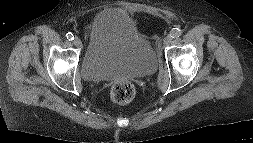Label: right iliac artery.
Listing matches in <instances>:
<instances>
[{
	"mask_svg": "<svg viewBox=\"0 0 253 143\" xmlns=\"http://www.w3.org/2000/svg\"><path fill=\"white\" fill-rule=\"evenodd\" d=\"M66 37H67V39H68L69 41H72V40L74 39V35H73L71 32H68V33L66 34Z\"/></svg>",
	"mask_w": 253,
	"mask_h": 143,
	"instance_id": "82829eb1",
	"label": "right iliac artery"
}]
</instances>
